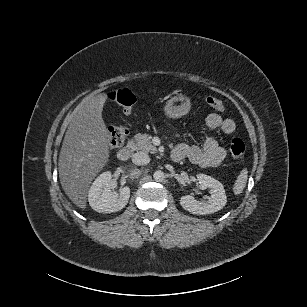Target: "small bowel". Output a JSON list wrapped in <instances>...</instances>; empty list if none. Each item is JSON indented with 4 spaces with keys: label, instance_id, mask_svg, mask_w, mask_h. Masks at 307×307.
Here are the masks:
<instances>
[{
    "label": "small bowel",
    "instance_id": "c3829d8e",
    "mask_svg": "<svg viewBox=\"0 0 307 307\" xmlns=\"http://www.w3.org/2000/svg\"><path fill=\"white\" fill-rule=\"evenodd\" d=\"M206 126L210 133L221 130L230 135L236 130V123L231 118H222L217 113H210L206 118ZM227 155L226 150L219 145L216 137L210 134L202 146L180 144L174 148L171 157L174 161L189 160L200 167H217Z\"/></svg>",
    "mask_w": 307,
    "mask_h": 307
}]
</instances>
